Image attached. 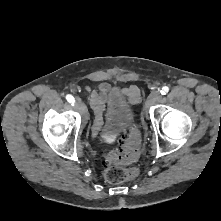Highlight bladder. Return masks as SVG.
Listing matches in <instances>:
<instances>
[{
    "mask_svg": "<svg viewBox=\"0 0 221 221\" xmlns=\"http://www.w3.org/2000/svg\"><path fill=\"white\" fill-rule=\"evenodd\" d=\"M106 134L115 133L118 129L133 122L135 118L132 104L117 90L111 91L107 101Z\"/></svg>",
    "mask_w": 221,
    "mask_h": 221,
    "instance_id": "1",
    "label": "bladder"
}]
</instances>
